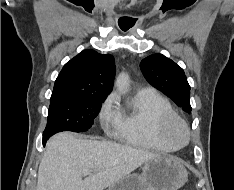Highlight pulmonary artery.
Listing matches in <instances>:
<instances>
[{
  "label": "pulmonary artery",
  "instance_id": "obj_1",
  "mask_svg": "<svg viewBox=\"0 0 234 190\" xmlns=\"http://www.w3.org/2000/svg\"><path fill=\"white\" fill-rule=\"evenodd\" d=\"M150 90H152L151 88H144L143 90H142V92H145V91H150Z\"/></svg>",
  "mask_w": 234,
  "mask_h": 190
}]
</instances>
